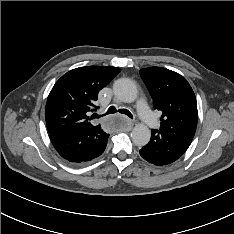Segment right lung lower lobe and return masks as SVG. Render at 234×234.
I'll list each match as a JSON object with an SVG mask.
<instances>
[{"instance_id": "98d812e1", "label": "right lung lower lobe", "mask_w": 234, "mask_h": 234, "mask_svg": "<svg viewBox=\"0 0 234 234\" xmlns=\"http://www.w3.org/2000/svg\"><path fill=\"white\" fill-rule=\"evenodd\" d=\"M109 134L100 126H79L50 134L58 153L75 163L90 161L100 156L107 145Z\"/></svg>"}]
</instances>
